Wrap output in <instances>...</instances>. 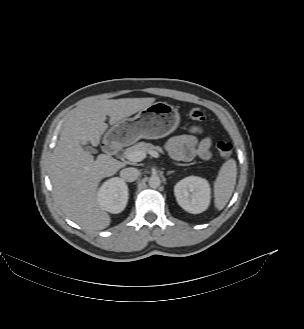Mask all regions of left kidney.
Segmentation results:
<instances>
[{
  "label": "left kidney",
  "mask_w": 304,
  "mask_h": 329,
  "mask_svg": "<svg viewBox=\"0 0 304 329\" xmlns=\"http://www.w3.org/2000/svg\"><path fill=\"white\" fill-rule=\"evenodd\" d=\"M174 195L178 204L185 211L199 214L205 211L210 204L211 189L206 179L189 176L175 185Z\"/></svg>",
  "instance_id": "left-kidney-1"
}]
</instances>
